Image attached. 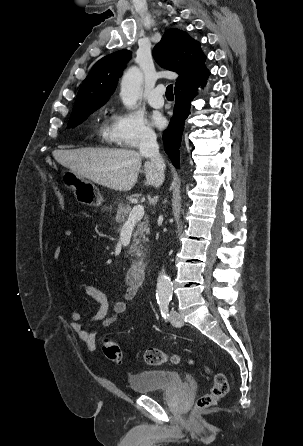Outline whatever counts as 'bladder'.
<instances>
[{
	"label": "bladder",
	"instance_id": "31cf9c89",
	"mask_svg": "<svg viewBox=\"0 0 303 446\" xmlns=\"http://www.w3.org/2000/svg\"><path fill=\"white\" fill-rule=\"evenodd\" d=\"M128 383L132 392L148 394L182 387L184 380L176 371L149 369L130 375Z\"/></svg>",
	"mask_w": 303,
	"mask_h": 446
}]
</instances>
